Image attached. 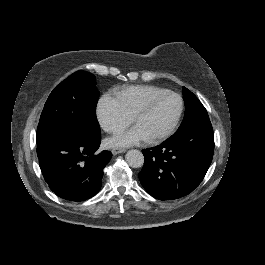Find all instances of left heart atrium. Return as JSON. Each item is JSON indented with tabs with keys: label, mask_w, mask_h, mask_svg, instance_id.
Returning <instances> with one entry per match:
<instances>
[{
	"label": "left heart atrium",
	"mask_w": 265,
	"mask_h": 265,
	"mask_svg": "<svg viewBox=\"0 0 265 265\" xmlns=\"http://www.w3.org/2000/svg\"><path fill=\"white\" fill-rule=\"evenodd\" d=\"M148 139L146 132L136 125L130 130L118 132L108 139V143L113 147H125L140 144Z\"/></svg>",
	"instance_id": "obj_1"
}]
</instances>
